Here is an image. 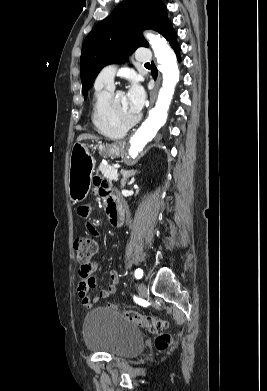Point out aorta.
<instances>
[{
    "instance_id": "aorta-1",
    "label": "aorta",
    "mask_w": 267,
    "mask_h": 391,
    "mask_svg": "<svg viewBox=\"0 0 267 391\" xmlns=\"http://www.w3.org/2000/svg\"><path fill=\"white\" fill-rule=\"evenodd\" d=\"M146 38L154 51L159 70L163 75L162 87L159 90L155 107L149 112V117L136 131L130 140L129 154L136 156L145 145L152 140L159 129L165 124L175 87L179 81V69L174 51L167 41L159 35L147 33Z\"/></svg>"
}]
</instances>
